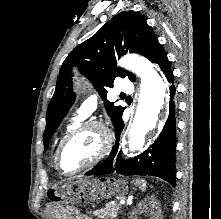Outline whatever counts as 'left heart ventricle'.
Here are the masks:
<instances>
[{"mask_svg":"<svg viewBox=\"0 0 221 219\" xmlns=\"http://www.w3.org/2000/svg\"><path fill=\"white\" fill-rule=\"evenodd\" d=\"M102 136L98 129H88L75 136L63 149L60 164L65 172L83 167L98 154Z\"/></svg>","mask_w":221,"mask_h":219,"instance_id":"b2bd125f","label":"left heart ventricle"}]
</instances>
